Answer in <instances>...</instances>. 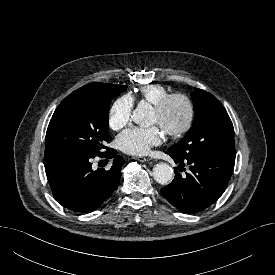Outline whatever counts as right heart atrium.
Wrapping results in <instances>:
<instances>
[{
    "mask_svg": "<svg viewBox=\"0 0 275 275\" xmlns=\"http://www.w3.org/2000/svg\"><path fill=\"white\" fill-rule=\"evenodd\" d=\"M133 98L129 95L119 97L109 110L108 123L111 129L120 130L131 121Z\"/></svg>",
    "mask_w": 275,
    "mask_h": 275,
    "instance_id": "right-heart-atrium-1",
    "label": "right heart atrium"
}]
</instances>
